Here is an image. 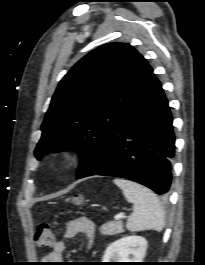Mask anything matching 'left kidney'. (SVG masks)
I'll return each mask as SVG.
<instances>
[{
	"instance_id": "obj_1",
	"label": "left kidney",
	"mask_w": 205,
	"mask_h": 265,
	"mask_svg": "<svg viewBox=\"0 0 205 265\" xmlns=\"http://www.w3.org/2000/svg\"><path fill=\"white\" fill-rule=\"evenodd\" d=\"M147 249V240L142 236H125L110 244L102 262H142Z\"/></svg>"
}]
</instances>
